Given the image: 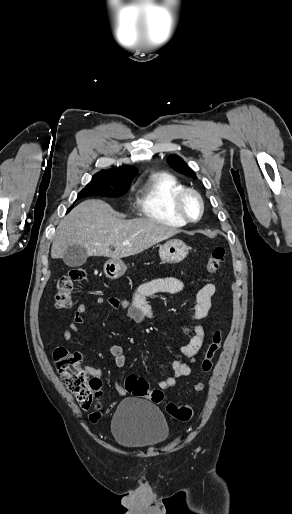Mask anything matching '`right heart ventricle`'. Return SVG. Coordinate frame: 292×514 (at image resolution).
I'll list each match as a JSON object with an SVG mask.
<instances>
[{
  "mask_svg": "<svg viewBox=\"0 0 292 514\" xmlns=\"http://www.w3.org/2000/svg\"><path fill=\"white\" fill-rule=\"evenodd\" d=\"M182 187V183L175 176L166 172H154L140 185L134 208L141 216L164 225L184 227L186 222L177 217L171 208L172 194Z\"/></svg>",
  "mask_w": 292,
  "mask_h": 514,
  "instance_id": "right-heart-ventricle-1",
  "label": "right heart ventricle"
}]
</instances>
